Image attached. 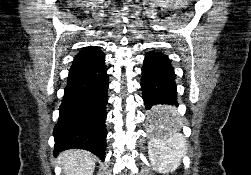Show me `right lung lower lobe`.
Instances as JSON below:
<instances>
[{"instance_id":"98d812e1","label":"right lung lower lobe","mask_w":251,"mask_h":175,"mask_svg":"<svg viewBox=\"0 0 251 175\" xmlns=\"http://www.w3.org/2000/svg\"><path fill=\"white\" fill-rule=\"evenodd\" d=\"M104 61L105 56H102L71 66L53 132L55 155L69 148H80L104 160L108 100V75Z\"/></svg>"}]
</instances>
